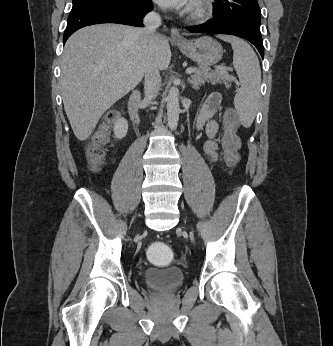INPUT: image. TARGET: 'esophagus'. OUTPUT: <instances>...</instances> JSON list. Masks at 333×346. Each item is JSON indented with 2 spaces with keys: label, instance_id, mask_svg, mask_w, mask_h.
<instances>
[{
  "label": "esophagus",
  "instance_id": "obj_1",
  "mask_svg": "<svg viewBox=\"0 0 333 346\" xmlns=\"http://www.w3.org/2000/svg\"><path fill=\"white\" fill-rule=\"evenodd\" d=\"M171 39L176 42H182L184 41V37L179 32V30L176 27H172L170 31Z\"/></svg>",
  "mask_w": 333,
  "mask_h": 346
}]
</instances>
